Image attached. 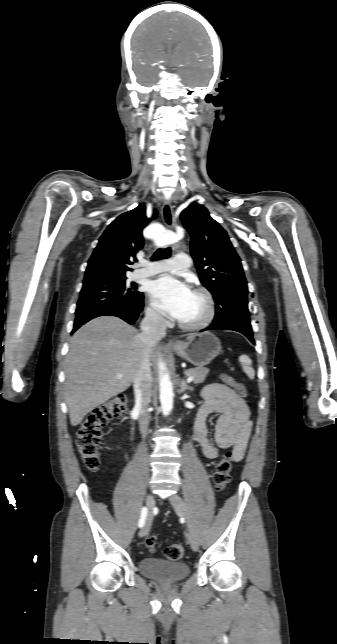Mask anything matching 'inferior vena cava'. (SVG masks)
<instances>
[{
  "mask_svg": "<svg viewBox=\"0 0 337 644\" xmlns=\"http://www.w3.org/2000/svg\"><path fill=\"white\" fill-rule=\"evenodd\" d=\"M166 321L155 311H148L141 322L140 340L145 347L139 362V368L134 379L135 408L140 412L139 426L143 437H146L149 424L147 413L150 402L152 374L150 369L148 349L155 341L165 335Z\"/></svg>",
  "mask_w": 337,
  "mask_h": 644,
  "instance_id": "602c4592",
  "label": "inferior vena cava"
}]
</instances>
